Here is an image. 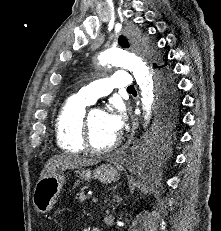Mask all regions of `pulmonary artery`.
Masks as SVG:
<instances>
[{"instance_id": "1", "label": "pulmonary artery", "mask_w": 221, "mask_h": 231, "mask_svg": "<svg viewBox=\"0 0 221 231\" xmlns=\"http://www.w3.org/2000/svg\"><path fill=\"white\" fill-rule=\"evenodd\" d=\"M133 80L126 71H117L111 76L94 81L77 93V97L88 103H94L98 98L108 95L114 88H129Z\"/></svg>"}]
</instances>
